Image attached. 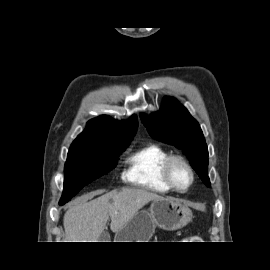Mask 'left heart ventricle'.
<instances>
[{
    "mask_svg": "<svg viewBox=\"0 0 270 270\" xmlns=\"http://www.w3.org/2000/svg\"><path fill=\"white\" fill-rule=\"evenodd\" d=\"M173 177L179 187H186L190 181L188 171L180 164H176L173 168Z\"/></svg>",
    "mask_w": 270,
    "mask_h": 270,
    "instance_id": "left-heart-ventricle-1",
    "label": "left heart ventricle"
}]
</instances>
